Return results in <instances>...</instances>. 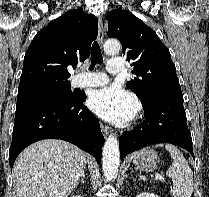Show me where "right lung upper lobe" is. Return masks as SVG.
<instances>
[{
  "mask_svg": "<svg viewBox=\"0 0 209 197\" xmlns=\"http://www.w3.org/2000/svg\"><path fill=\"white\" fill-rule=\"evenodd\" d=\"M98 19L82 9L64 13L34 37L24 57L19 87L40 82H66L67 67L84 61L97 37Z\"/></svg>",
  "mask_w": 209,
  "mask_h": 197,
  "instance_id": "right-lung-upper-lobe-1",
  "label": "right lung upper lobe"
}]
</instances>
